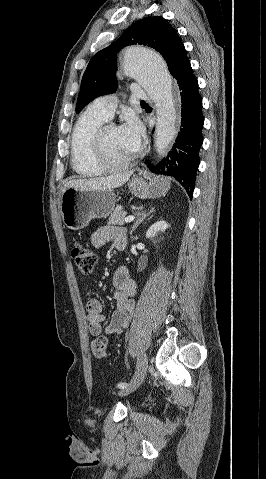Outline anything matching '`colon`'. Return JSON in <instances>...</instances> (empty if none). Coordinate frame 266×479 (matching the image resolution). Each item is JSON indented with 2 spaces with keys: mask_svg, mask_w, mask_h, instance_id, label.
<instances>
[{
  "mask_svg": "<svg viewBox=\"0 0 266 479\" xmlns=\"http://www.w3.org/2000/svg\"><path fill=\"white\" fill-rule=\"evenodd\" d=\"M73 262L82 275H90L96 264L94 252L81 242H74L71 246ZM107 348V339L98 336L91 344V349L96 357H104Z\"/></svg>",
  "mask_w": 266,
  "mask_h": 479,
  "instance_id": "5ec220e1",
  "label": "colon"
}]
</instances>
